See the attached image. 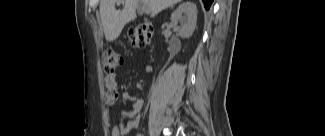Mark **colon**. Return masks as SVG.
I'll list each match as a JSON object with an SVG mask.
<instances>
[{
  "instance_id": "colon-1",
  "label": "colon",
  "mask_w": 325,
  "mask_h": 136,
  "mask_svg": "<svg viewBox=\"0 0 325 136\" xmlns=\"http://www.w3.org/2000/svg\"><path fill=\"white\" fill-rule=\"evenodd\" d=\"M152 34V27L139 26L131 28L128 32V39L135 46H144L149 42ZM123 60L118 52L113 49H107L103 56V69L106 73H113L121 64Z\"/></svg>"
}]
</instances>
